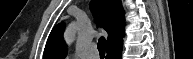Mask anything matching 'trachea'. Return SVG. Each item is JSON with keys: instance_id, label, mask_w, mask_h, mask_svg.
Listing matches in <instances>:
<instances>
[{"instance_id": "1", "label": "trachea", "mask_w": 193, "mask_h": 59, "mask_svg": "<svg viewBox=\"0 0 193 59\" xmlns=\"http://www.w3.org/2000/svg\"><path fill=\"white\" fill-rule=\"evenodd\" d=\"M97 48L99 51L100 55H105V50H106V40L104 37H100L99 41L97 43Z\"/></svg>"}]
</instances>
